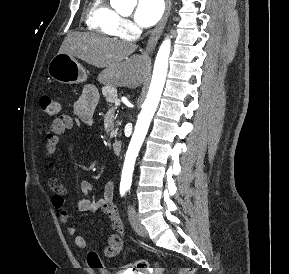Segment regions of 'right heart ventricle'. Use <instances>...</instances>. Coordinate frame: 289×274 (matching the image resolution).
I'll return each instance as SVG.
<instances>
[{
	"label": "right heart ventricle",
	"mask_w": 289,
	"mask_h": 274,
	"mask_svg": "<svg viewBox=\"0 0 289 274\" xmlns=\"http://www.w3.org/2000/svg\"><path fill=\"white\" fill-rule=\"evenodd\" d=\"M121 20L107 0H92L88 5L86 25L90 30L105 36L118 37L122 35Z\"/></svg>",
	"instance_id": "e07e8e85"
}]
</instances>
